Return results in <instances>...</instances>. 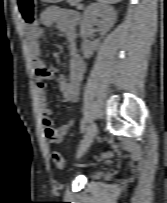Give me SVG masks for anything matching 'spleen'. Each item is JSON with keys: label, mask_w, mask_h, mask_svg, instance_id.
Returning a JSON list of instances; mask_svg holds the SVG:
<instances>
[{"label": "spleen", "mask_w": 167, "mask_h": 203, "mask_svg": "<svg viewBox=\"0 0 167 203\" xmlns=\"http://www.w3.org/2000/svg\"><path fill=\"white\" fill-rule=\"evenodd\" d=\"M98 1L101 3H104V4H115V3H118L122 0H98Z\"/></svg>", "instance_id": "obj_1"}]
</instances>
